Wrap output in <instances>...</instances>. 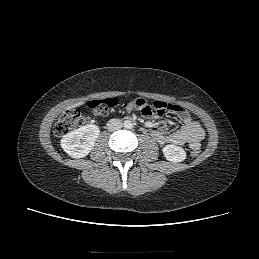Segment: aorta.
I'll use <instances>...</instances> for the list:
<instances>
[{
    "label": "aorta",
    "mask_w": 259,
    "mask_h": 259,
    "mask_svg": "<svg viewBox=\"0 0 259 259\" xmlns=\"http://www.w3.org/2000/svg\"><path fill=\"white\" fill-rule=\"evenodd\" d=\"M124 126H125V128H127V129H131V128L133 127L131 121H125Z\"/></svg>",
    "instance_id": "obj_1"
}]
</instances>
